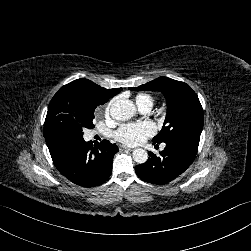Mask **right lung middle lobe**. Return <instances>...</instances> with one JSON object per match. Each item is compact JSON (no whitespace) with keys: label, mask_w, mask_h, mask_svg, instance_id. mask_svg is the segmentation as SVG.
I'll return each instance as SVG.
<instances>
[{"label":"right lung middle lobe","mask_w":251,"mask_h":251,"mask_svg":"<svg viewBox=\"0 0 251 251\" xmlns=\"http://www.w3.org/2000/svg\"><path fill=\"white\" fill-rule=\"evenodd\" d=\"M94 110L75 103L68 94L57 92L50 101L44 123V137L52 135L83 138V129H92Z\"/></svg>","instance_id":"1"}]
</instances>
